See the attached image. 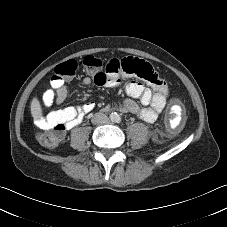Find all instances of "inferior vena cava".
Wrapping results in <instances>:
<instances>
[{
  "label": "inferior vena cava",
  "instance_id": "602c4592",
  "mask_svg": "<svg viewBox=\"0 0 227 227\" xmlns=\"http://www.w3.org/2000/svg\"><path fill=\"white\" fill-rule=\"evenodd\" d=\"M93 124H105L108 121L107 116L104 113L98 112L92 117Z\"/></svg>",
  "mask_w": 227,
  "mask_h": 227
}]
</instances>
